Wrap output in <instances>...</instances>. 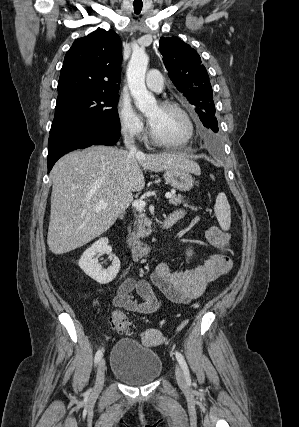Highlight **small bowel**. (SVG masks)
I'll use <instances>...</instances> for the list:
<instances>
[{
	"mask_svg": "<svg viewBox=\"0 0 299 427\" xmlns=\"http://www.w3.org/2000/svg\"><path fill=\"white\" fill-rule=\"evenodd\" d=\"M183 215L184 212L178 210L170 216L178 220ZM206 235L208 242L216 250L213 256L190 270L176 271L166 263H160L146 279H126L120 285L113 305L142 314L159 311L163 307V300L153 295L151 285L159 288L166 300L176 304H185L201 296L212 280L231 267V260L225 254L230 234L217 226H211ZM133 291H137L141 301L132 296Z\"/></svg>",
	"mask_w": 299,
	"mask_h": 427,
	"instance_id": "obj_1",
	"label": "small bowel"
}]
</instances>
